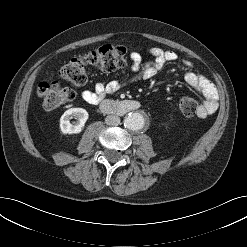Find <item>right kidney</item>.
<instances>
[{
    "instance_id": "obj_1",
    "label": "right kidney",
    "mask_w": 247,
    "mask_h": 247,
    "mask_svg": "<svg viewBox=\"0 0 247 247\" xmlns=\"http://www.w3.org/2000/svg\"><path fill=\"white\" fill-rule=\"evenodd\" d=\"M88 112L83 108H71L64 112L60 118V129L64 134L80 133L88 119ZM72 118L77 122L71 123Z\"/></svg>"
}]
</instances>
